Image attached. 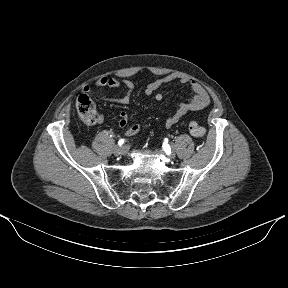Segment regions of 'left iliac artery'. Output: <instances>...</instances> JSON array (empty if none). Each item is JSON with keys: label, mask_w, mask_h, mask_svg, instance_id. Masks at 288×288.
<instances>
[{"label": "left iliac artery", "mask_w": 288, "mask_h": 288, "mask_svg": "<svg viewBox=\"0 0 288 288\" xmlns=\"http://www.w3.org/2000/svg\"><path fill=\"white\" fill-rule=\"evenodd\" d=\"M163 143H169V138L167 136H164L162 138ZM166 149V148H165Z\"/></svg>", "instance_id": "44dca946"}]
</instances>
